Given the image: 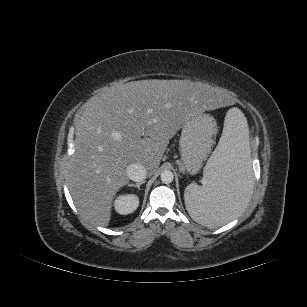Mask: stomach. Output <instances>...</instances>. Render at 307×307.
Here are the masks:
<instances>
[{"label":"stomach","instance_id":"1","mask_svg":"<svg viewBox=\"0 0 307 307\" xmlns=\"http://www.w3.org/2000/svg\"><path fill=\"white\" fill-rule=\"evenodd\" d=\"M215 119L205 113L190 117L182 126L179 141L181 161L185 170L198 173L211 152L213 137L216 134Z\"/></svg>","mask_w":307,"mask_h":307}]
</instances>
